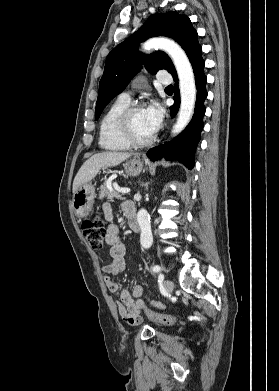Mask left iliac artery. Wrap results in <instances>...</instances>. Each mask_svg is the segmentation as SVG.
<instances>
[{"label":"left iliac artery","mask_w":279,"mask_h":391,"mask_svg":"<svg viewBox=\"0 0 279 391\" xmlns=\"http://www.w3.org/2000/svg\"><path fill=\"white\" fill-rule=\"evenodd\" d=\"M153 272H160L161 268L159 265H155L153 268H152ZM159 279L162 281L164 279V275L163 274H160L159 275Z\"/></svg>","instance_id":"1"}]
</instances>
